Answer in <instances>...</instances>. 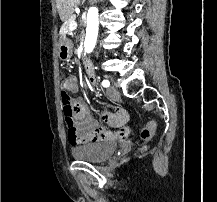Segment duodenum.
<instances>
[{
  "mask_svg": "<svg viewBox=\"0 0 217 202\" xmlns=\"http://www.w3.org/2000/svg\"><path fill=\"white\" fill-rule=\"evenodd\" d=\"M84 68H85V71H86L88 77L94 78V76H95L94 66H93V63L91 62L90 59L86 58L84 60Z\"/></svg>",
  "mask_w": 217,
  "mask_h": 202,
  "instance_id": "obj_1",
  "label": "duodenum"
}]
</instances>
